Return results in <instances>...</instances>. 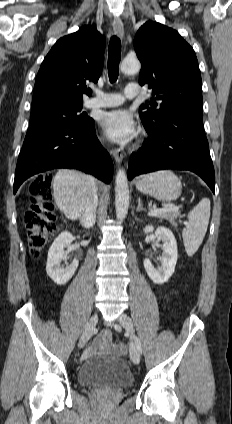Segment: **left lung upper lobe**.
<instances>
[{
    "label": "left lung upper lobe",
    "instance_id": "5c2ea615",
    "mask_svg": "<svg viewBox=\"0 0 232 424\" xmlns=\"http://www.w3.org/2000/svg\"><path fill=\"white\" fill-rule=\"evenodd\" d=\"M134 48L142 64L140 84H148L154 99L162 101L159 105L150 102L151 108L141 105V120L156 128L174 112L202 111L198 61L193 48L177 31L147 21L135 35Z\"/></svg>",
    "mask_w": 232,
    "mask_h": 424
}]
</instances>
